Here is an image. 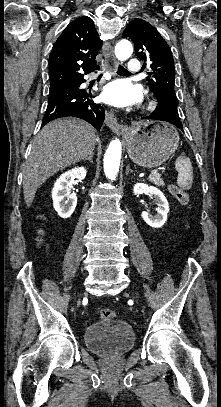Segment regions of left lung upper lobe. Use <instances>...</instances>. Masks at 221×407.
I'll list each match as a JSON object with an SVG mask.
<instances>
[{
    "label": "left lung upper lobe",
    "mask_w": 221,
    "mask_h": 407,
    "mask_svg": "<svg viewBox=\"0 0 221 407\" xmlns=\"http://www.w3.org/2000/svg\"><path fill=\"white\" fill-rule=\"evenodd\" d=\"M122 37L130 38L135 45L137 58L149 63L151 72L148 74L151 77H147V80L158 101L168 98L171 107L177 110L174 60L170 47L160 33L145 20L137 18L127 25Z\"/></svg>",
    "instance_id": "1"
}]
</instances>
